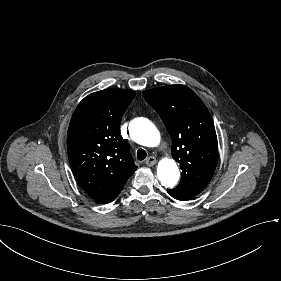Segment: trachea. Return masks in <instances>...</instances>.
I'll list each match as a JSON object with an SVG mask.
<instances>
[{"mask_svg": "<svg viewBox=\"0 0 281 281\" xmlns=\"http://www.w3.org/2000/svg\"><path fill=\"white\" fill-rule=\"evenodd\" d=\"M146 156H147V153H146L145 150H143V149H141V148L137 150V159H138L139 161L144 160V159L146 158Z\"/></svg>", "mask_w": 281, "mask_h": 281, "instance_id": "trachea-1", "label": "trachea"}]
</instances>
